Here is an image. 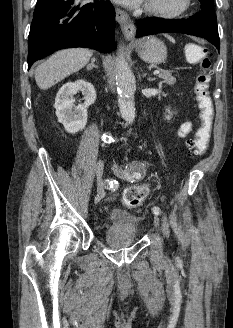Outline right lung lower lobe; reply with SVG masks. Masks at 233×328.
Segmentation results:
<instances>
[{
    "label": "right lung lower lobe",
    "instance_id": "98d812e1",
    "mask_svg": "<svg viewBox=\"0 0 233 328\" xmlns=\"http://www.w3.org/2000/svg\"><path fill=\"white\" fill-rule=\"evenodd\" d=\"M114 16L106 0H38L28 39V70L35 61L63 48L115 50Z\"/></svg>",
    "mask_w": 233,
    "mask_h": 328
}]
</instances>
